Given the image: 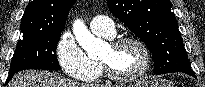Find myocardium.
I'll return each mask as SVG.
<instances>
[{"mask_svg":"<svg viewBox=\"0 0 205 87\" xmlns=\"http://www.w3.org/2000/svg\"><path fill=\"white\" fill-rule=\"evenodd\" d=\"M127 43H133L142 50L143 56H144L143 65L136 73H133L130 75H120L114 72L107 62L100 59L99 60L100 66L105 76L111 81L118 82V83L134 82L142 78L150 68L151 53H150L148 46L141 39L137 37H133V36L120 37V38L111 40L109 42V46L113 49H116Z\"/></svg>","mask_w":205,"mask_h":87,"instance_id":"f54148a6","label":"myocardium"}]
</instances>
